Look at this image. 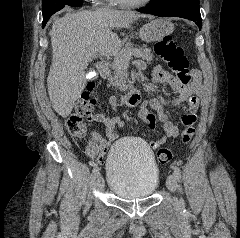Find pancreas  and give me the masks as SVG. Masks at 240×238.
Instances as JSON below:
<instances>
[{"label": "pancreas", "instance_id": "obj_1", "mask_svg": "<svg viewBox=\"0 0 240 238\" xmlns=\"http://www.w3.org/2000/svg\"><path fill=\"white\" fill-rule=\"evenodd\" d=\"M132 50H137L139 52L140 57L147 62L152 61L153 54L151 49H147L145 47L136 49L133 48L131 43L126 44L122 50L115 56L113 62L111 63L110 67L114 70L113 75L108 76L109 84L113 87H118L122 91H126L131 88V85H127V82H130L128 79V61H122L124 59V55Z\"/></svg>", "mask_w": 240, "mask_h": 238}]
</instances>
